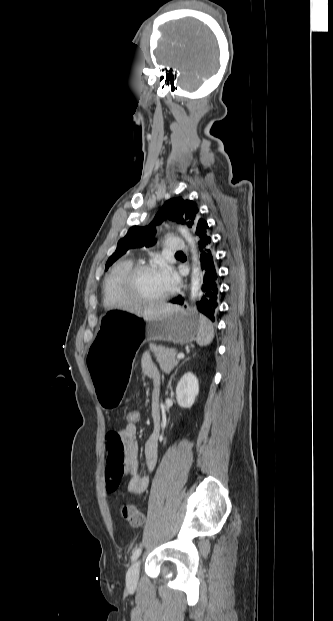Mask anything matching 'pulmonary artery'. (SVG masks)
<instances>
[{
	"mask_svg": "<svg viewBox=\"0 0 333 621\" xmlns=\"http://www.w3.org/2000/svg\"><path fill=\"white\" fill-rule=\"evenodd\" d=\"M166 250L170 252L182 251L186 248L185 241L179 237H169L165 242Z\"/></svg>",
	"mask_w": 333,
	"mask_h": 621,
	"instance_id": "obj_1",
	"label": "pulmonary artery"
}]
</instances>
